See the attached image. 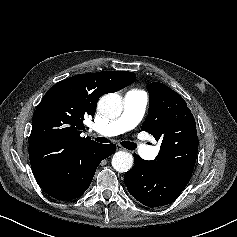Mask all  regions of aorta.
<instances>
[{
  "mask_svg": "<svg viewBox=\"0 0 237 237\" xmlns=\"http://www.w3.org/2000/svg\"><path fill=\"white\" fill-rule=\"evenodd\" d=\"M99 112L109 118H117L121 115L123 104L121 97L116 93L102 96L98 102ZM133 165V156L125 151H118L113 155L112 166L120 172H128Z\"/></svg>",
  "mask_w": 237,
  "mask_h": 237,
  "instance_id": "762f6f07",
  "label": "aorta"
}]
</instances>
